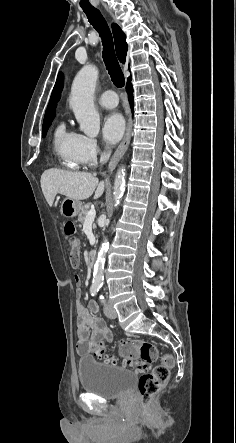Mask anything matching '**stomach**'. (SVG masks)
Here are the masks:
<instances>
[{"label": "stomach", "instance_id": "1", "mask_svg": "<svg viewBox=\"0 0 236 443\" xmlns=\"http://www.w3.org/2000/svg\"><path fill=\"white\" fill-rule=\"evenodd\" d=\"M83 209L82 203L80 201L65 198L61 204V214L66 218L76 217L79 212Z\"/></svg>", "mask_w": 236, "mask_h": 443}]
</instances>
